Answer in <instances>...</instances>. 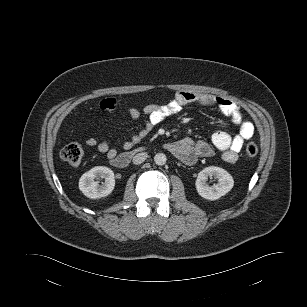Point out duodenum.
<instances>
[{
	"mask_svg": "<svg viewBox=\"0 0 307 307\" xmlns=\"http://www.w3.org/2000/svg\"><path fill=\"white\" fill-rule=\"evenodd\" d=\"M140 150H131V151H126L121 154H119L113 161L112 164L113 166L117 168H125L127 167L130 162L132 157L138 153Z\"/></svg>",
	"mask_w": 307,
	"mask_h": 307,
	"instance_id": "duodenum-1",
	"label": "duodenum"
}]
</instances>
